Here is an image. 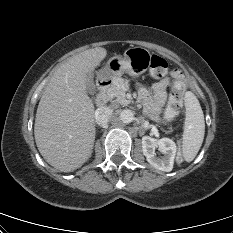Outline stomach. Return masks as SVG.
I'll return each instance as SVG.
<instances>
[{
  "mask_svg": "<svg viewBox=\"0 0 233 233\" xmlns=\"http://www.w3.org/2000/svg\"><path fill=\"white\" fill-rule=\"evenodd\" d=\"M150 63L151 53L147 49L131 47L123 55L114 56L107 62L104 75L112 81L124 73L137 77L147 71Z\"/></svg>",
  "mask_w": 233,
  "mask_h": 233,
  "instance_id": "stomach-1",
  "label": "stomach"
}]
</instances>
